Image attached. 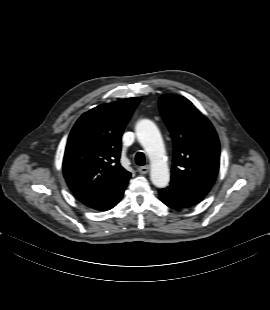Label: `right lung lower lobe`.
<instances>
[{
	"label": "right lung lower lobe",
	"instance_id": "obj_1",
	"mask_svg": "<svg viewBox=\"0 0 270 310\" xmlns=\"http://www.w3.org/2000/svg\"><path fill=\"white\" fill-rule=\"evenodd\" d=\"M128 180L121 183L119 186H117L113 191L108 193L107 195L103 196L102 198H99L95 201L86 203V205L92 209L96 210H110L113 208L121 199L124 190L127 186Z\"/></svg>",
	"mask_w": 270,
	"mask_h": 310
}]
</instances>
